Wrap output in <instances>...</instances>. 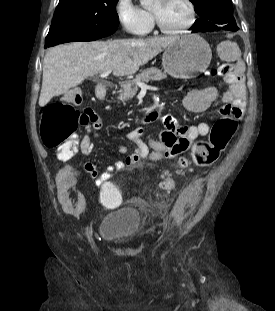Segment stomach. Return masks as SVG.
<instances>
[{
    "label": "stomach",
    "mask_w": 275,
    "mask_h": 311,
    "mask_svg": "<svg viewBox=\"0 0 275 311\" xmlns=\"http://www.w3.org/2000/svg\"><path fill=\"white\" fill-rule=\"evenodd\" d=\"M212 58L209 44L197 34L176 37L165 49L162 66L178 79H190L206 71Z\"/></svg>",
    "instance_id": "1"
}]
</instances>
